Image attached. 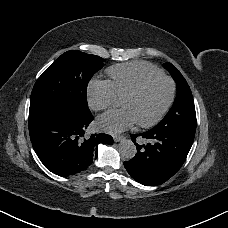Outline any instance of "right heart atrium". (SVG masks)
<instances>
[{"mask_svg":"<svg viewBox=\"0 0 228 228\" xmlns=\"http://www.w3.org/2000/svg\"><path fill=\"white\" fill-rule=\"evenodd\" d=\"M117 102L111 82L93 81L88 86V103L93 110H105Z\"/></svg>","mask_w":228,"mask_h":228,"instance_id":"right-heart-atrium-1","label":"right heart atrium"}]
</instances>
